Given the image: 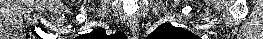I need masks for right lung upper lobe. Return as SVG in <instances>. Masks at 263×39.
Masks as SVG:
<instances>
[{"label": "right lung upper lobe", "mask_w": 263, "mask_h": 39, "mask_svg": "<svg viewBox=\"0 0 263 39\" xmlns=\"http://www.w3.org/2000/svg\"><path fill=\"white\" fill-rule=\"evenodd\" d=\"M115 35H122V33H117V34H115ZM101 36H102V38H106V34H105V29H103V28H97V29H95L94 31H92L91 33H89L88 35H87V38H101ZM113 35H111L110 37H112ZM108 37V36H107Z\"/></svg>", "instance_id": "obj_1"}]
</instances>
